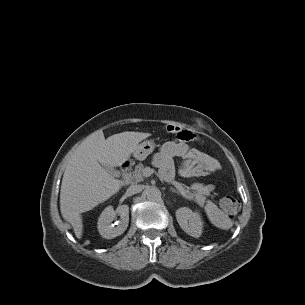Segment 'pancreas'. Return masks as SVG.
Segmentation results:
<instances>
[{"mask_svg": "<svg viewBox=\"0 0 305 305\" xmlns=\"http://www.w3.org/2000/svg\"><path fill=\"white\" fill-rule=\"evenodd\" d=\"M146 167L139 163L135 166V170L132 171L128 178L129 181L134 184L143 181L142 173ZM178 191L187 199L195 201L199 205H204L206 202L205 195L209 193L210 187L204 186L200 183H194L191 187L185 186L181 183H174Z\"/></svg>", "mask_w": 305, "mask_h": 305, "instance_id": "pancreas-1", "label": "pancreas"}]
</instances>
